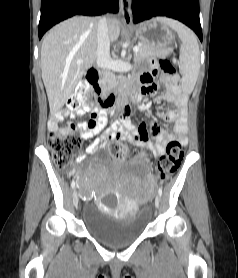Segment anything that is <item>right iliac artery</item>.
Here are the masks:
<instances>
[{
  "mask_svg": "<svg viewBox=\"0 0 238 278\" xmlns=\"http://www.w3.org/2000/svg\"><path fill=\"white\" fill-rule=\"evenodd\" d=\"M71 187H72V189L75 188V181L74 180H72V182H71Z\"/></svg>",
  "mask_w": 238,
  "mask_h": 278,
  "instance_id": "82829eb1",
  "label": "right iliac artery"
}]
</instances>
